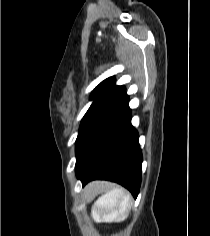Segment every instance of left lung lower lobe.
<instances>
[{
	"instance_id": "obj_1",
	"label": "left lung lower lobe",
	"mask_w": 210,
	"mask_h": 236,
	"mask_svg": "<svg viewBox=\"0 0 210 236\" xmlns=\"http://www.w3.org/2000/svg\"><path fill=\"white\" fill-rule=\"evenodd\" d=\"M128 102L124 91L78 134L75 169L83 186L95 179L110 180L126 187L136 198L142 153Z\"/></svg>"
}]
</instances>
